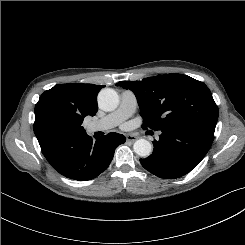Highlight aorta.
Instances as JSON below:
<instances>
[{
    "mask_svg": "<svg viewBox=\"0 0 245 245\" xmlns=\"http://www.w3.org/2000/svg\"><path fill=\"white\" fill-rule=\"evenodd\" d=\"M119 97L117 92L111 88H104L98 94V105L104 111H112L117 108ZM134 152L141 156L147 157L152 151V146L146 139H139L133 145Z\"/></svg>",
    "mask_w": 245,
    "mask_h": 245,
    "instance_id": "1",
    "label": "aorta"
}]
</instances>
